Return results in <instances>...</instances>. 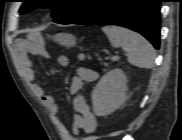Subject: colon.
<instances>
[{"label":"colon","mask_w":182,"mask_h":140,"mask_svg":"<svg viewBox=\"0 0 182 140\" xmlns=\"http://www.w3.org/2000/svg\"><path fill=\"white\" fill-rule=\"evenodd\" d=\"M93 138H91V137H85V138H83L82 140H92Z\"/></svg>","instance_id":"1"}]
</instances>
